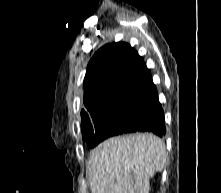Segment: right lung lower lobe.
<instances>
[{
	"label": "right lung lower lobe",
	"mask_w": 221,
	"mask_h": 193,
	"mask_svg": "<svg viewBox=\"0 0 221 193\" xmlns=\"http://www.w3.org/2000/svg\"><path fill=\"white\" fill-rule=\"evenodd\" d=\"M151 102V111L142 118L139 122L133 125L128 130L124 131L121 134H128L134 132H151L156 134L159 137L165 135V120H164V112L161 104L158 100V95L150 101Z\"/></svg>",
	"instance_id": "1"
}]
</instances>
